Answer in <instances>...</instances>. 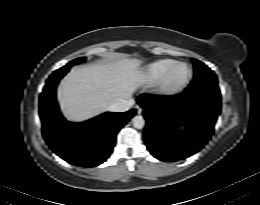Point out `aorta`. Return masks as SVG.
Masks as SVG:
<instances>
[{
	"label": "aorta",
	"mask_w": 260,
	"mask_h": 205,
	"mask_svg": "<svg viewBox=\"0 0 260 205\" xmlns=\"http://www.w3.org/2000/svg\"><path fill=\"white\" fill-rule=\"evenodd\" d=\"M132 121L136 129H142L145 125L144 118L140 115L133 117Z\"/></svg>",
	"instance_id": "aorta-1"
}]
</instances>
